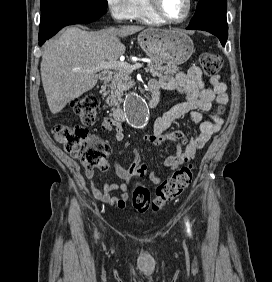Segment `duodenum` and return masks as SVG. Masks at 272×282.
I'll return each mask as SVG.
<instances>
[{
  "label": "duodenum",
  "mask_w": 272,
  "mask_h": 282,
  "mask_svg": "<svg viewBox=\"0 0 272 282\" xmlns=\"http://www.w3.org/2000/svg\"><path fill=\"white\" fill-rule=\"evenodd\" d=\"M112 75V70L104 71L101 74V80L109 81L112 78ZM148 90L151 96L148 102V106L150 108H155L160 101V86L157 79H150L148 81ZM111 117L114 120H122L124 118V113L120 105H113V107L111 108Z\"/></svg>",
  "instance_id": "duodenum-1"
}]
</instances>
